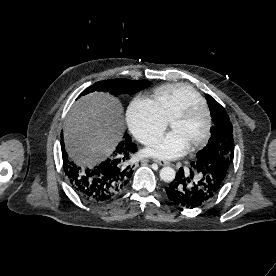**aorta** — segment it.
<instances>
[{
	"instance_id": "aorta-1",
	"label": "aorta",
	"mask_w": 276,
	"mask_h": 276,
	"mask_svg": "<svg viewBox=\"0 0 276 276\" xmlns=\"http://www.w3.org/2000/svg\"><path fill=\"white\" fill-rule=\"evenodd\" d=\"M175 170L172 167L166 166L160 170V178L164 182H172L175 179Z\"/></svg>"
}]
</instances>
